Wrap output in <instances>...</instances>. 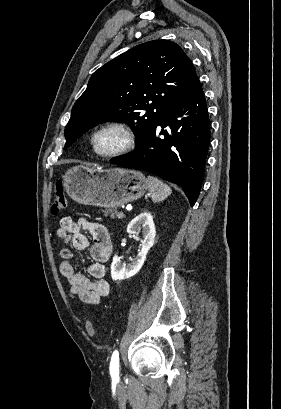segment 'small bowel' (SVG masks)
I'll return each instance as SVG.
<instances>
[{
    "mask_svg": "<svg viewBox=\"0 0 281 409\" xmlns=\"http://www.w3.org/2000/svg\"><path fill=\"white\" fill-rule=\"evenodd\" d=\"M87 231L89 239L83 234ZM57 236L65 243H70L78 251H89L87 275L77 272L71 260L74 256L69 248H62L60 272L70 285V295L83 303L98 304L110 293V285L105 279V263L112 252V242L106 227L98 222L82 217L74 221L63 217L59 222Z\"/></svg>",
    "mask_w": 281,
    "mask_h": 409,
    "instance_id": "c3829d8e",
    "label": "small bowel"
}]
</instances>
